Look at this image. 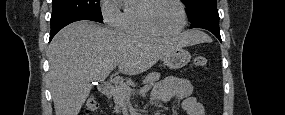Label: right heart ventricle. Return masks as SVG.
<instances>
[{
  "label": "right heart ventricle",
  "mask_w": 285,
  "mask_h": 115,
  "mask_svg": "<svg viewBox=\"0 0 285 115\" xmlns=\"http://www.w3.org/2000/svg\"><path fill=\"white\" fill-rule=\"evenodd\" d=\"M149 0H135L125 5L118 22V28L131 36L152 38L157 36L144 23L143 10Z\"/></svg>",
  "instance_id": "1"
}]
</instances>
